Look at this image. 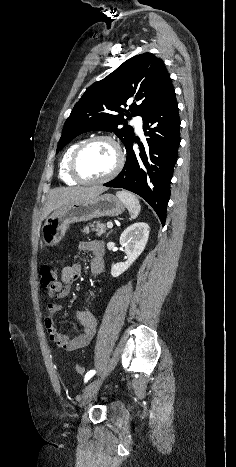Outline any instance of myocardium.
Segmentation results:
<instances>
[{
    "mask_svg": "<svg viewBox=\"0 0 236 467\" xmlns=\"http://www.w3.org/2000/svg\"><path fill=\"white\" fill-rule=\"evenodd\" d=\"M97 141H107L109 142L115 149L116 151V164L114 168L109 172L106 176L99 178V179H86L84 178L78 169V160L83 152V150L89 146L90 144L97 142ZM125 164V155L124 151L119 144V142L112 136L110 135H96L91 138H88L81 142L76 149L73 151L70 161H69V166H68V171L70 176L75 179L77 182L82 183V184H87V185H93V184H101L108 182L115 178L123 169Z\"/></svg>",
    "mask_w": 236,
    "mask_h": 467,
    "instance_id": "obj_1",
    "label": "myocardium"
}]
</instances>
